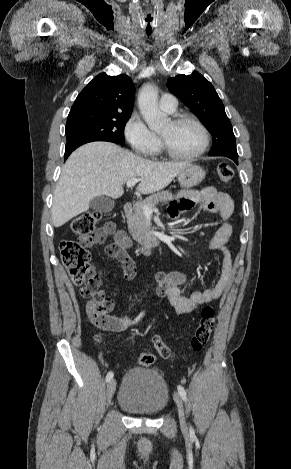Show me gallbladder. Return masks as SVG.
<instances>
[{
	"label": "gallbladder",
	"instance_id": "gallbladder-1",
	"mask_svg": "<svg viewBox=\"0 0 291 469\" xmlns=\"http://www.w3.org/2000/svg\"><path fill=\"white\" fill-rule=\"evenodd\" d=\"M115 202L106 196H97L90 201V208L100 213H107L113 210Z\"/></svg>",
	"mask_w": 291,
	"mask_h": 469
}]
</instances>
